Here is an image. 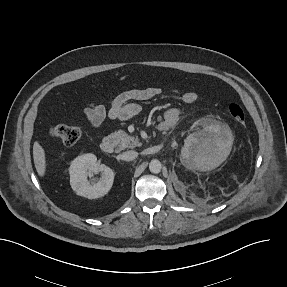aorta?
<instances>
[{
    "label": "aorta",
    "instance_id": "aorta-1",
    "mask_svg": "<svg viewBox=\"0 0 287 287\" xmlns=\"http://www.w3.org/2000/svg\"><path fill=\"white\" fill-rule=\"evenodd\" d=\"M161 169H162V164L159 160H157V159L151 160V162L149 163L150 172H152L154 174H158V173H160Z\"/></svg>",
    "mask_w": 287,
    "mask_h": 287
}]
</instances>
